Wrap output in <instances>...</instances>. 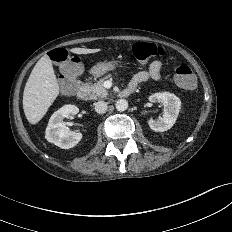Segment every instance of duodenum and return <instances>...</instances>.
I'll return each mask as SVG.
<instances>
[{
	"mask_svg": "<svg viewBox=\"0 0 232 232\" xmlns=\"http://www.w3.org/2000/svg\"><path fill=\"white\" fill-rule=\"evenodd\" d=\"M132 89L129 87L119 93V96L126 97L129 96ZM76 95L79 99L84 100L87 97V89L84 83H80L76 90Z\"/></svg>",
	"mask_w": 232,
	"mask_h": 232,
	"instance_id": "obj_1",
	"label": "duodenum"
}]
</instances>
